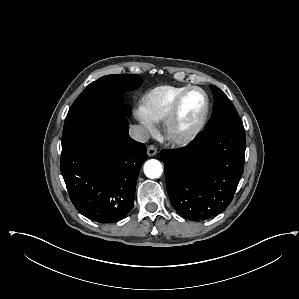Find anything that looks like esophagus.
<instances>
[{
	"mask_svg": "<svg viewBox=\"0 0 299 299\" xmlns=\"http://www.w3.org/2000/svg\"><path fill=\"white\" fill-rule=\"evenodd\" d=\"M148 156H154L157 154V148L154 145H150L147 149Z\"/></svg>",
	"mask_w": 299,
	"mask_h": 299,
	"instance_id": "obj_1",
	"label": "esophagus"
}]
</instances>
